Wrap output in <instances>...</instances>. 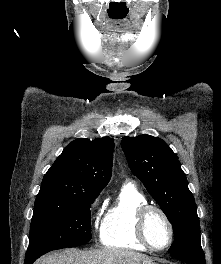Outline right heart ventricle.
<instances>
[{"instance_id":"obj_1","label":"right heart ventricle","mask_w":221,"mask_h":264,"mask_svg":"<svg viewBox=\"0 0 221 264\" xmlns=\"http://www.w3.org/2000/svg\"><path fill=\"white\" fill-rule=\"evenodd\" d=\"M148 204L145 195L131 182L121 188L117 198L108 206L102 219L100 241L104 246L144 251L135 233L138 209Z\"/></svg>"}]
</instances>
